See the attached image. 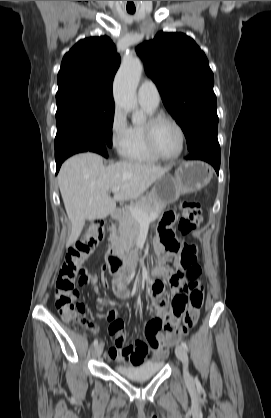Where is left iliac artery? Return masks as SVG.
Returning a JSON list of instances; mask_svg holds the SVG:
<instances>
[{
  "label": "left iliac artery",
  "instance_id": "1",
  "mask_svg": "<svg viewBox=\"0 0 271 418\" xmlns=\"http://www.w3.org/2000/svg\"><path fill=\"white\" fill-rule=\"evenodd\" d=\"M181 346L186 350V351H188V346H187V344L185 343V342H181Z\"/></svg>",
  "mask_w": 271,
  "mask_h": 418
}]
</instances>
